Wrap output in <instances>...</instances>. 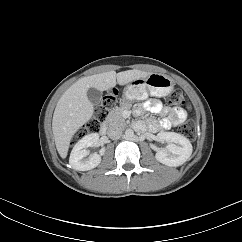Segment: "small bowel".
<instances>
[{
	"label": "small bowel",
	"instance_id": "obj_1",
	"mask_svg": "<svg viewBox=\"0 0 242 242\" xmlns=\"http://www.w3.org/2000/svg\"><path fill=\"white\" fill-rule=\"evenodd\" d=\"M145 112L160 114L162 118L156 123L150 122L147 124L142 120L135 122L134 127L139 131H146L147 129L152 131L169 129L183 123L187 118V114L183 110L167 107L157 99L148 100L135 109V114L138 116H142Z\"/></svg>",
	"mask_w": 242,
	"mask_h": 242
}]
</instances>
